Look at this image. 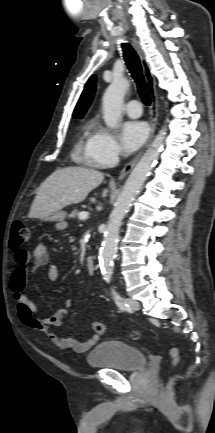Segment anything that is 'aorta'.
<instances>
[{"label":"aorta","instance_id":"1","mask_svg":"<svg viewBox=\"0 0 215 433\" xmlns=\"http://www.w3.org/2000/svg\"><path fill=\"white\" fill-rule=\"evenodd\" d=\"M129 87L130 82L127 79L114 78L103 95V118L106 125L110 128H116L119 125L122 117L124 96ZM166 131L165 127L159 131L149 149L137 163L125 182L115 207L110 214L100 250L101 271L104 280L107 282L110 281L113 274V261L117 253V243L122 220L159 158V154L164 146Z\"/></svg>","mask_w":215,"mask_h":433}]
</instances>
